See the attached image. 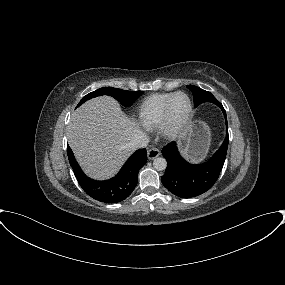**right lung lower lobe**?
I'll list each match as a JSON object with an SVG mask.
<instances>
[{
  "label": "right lung lower lobe",
  "instance_id": "1",
  "mask_svg": "<svg viewBox=\"0 0 285 285\" xmlns=\"http://www.w3.org/2000/svg\"><path fill=\"white\" fill-rule=\"evenodd\" d=\"M67 154L70 165L82 189L93 199L104 203H117L127 198L137 185L138 172L146 164V149L137 150L112 179L97 181L87 177L69 146Z\"/></svg>",
  "mask_w": 285,
  "mask_h": 285
}]
</instances>
